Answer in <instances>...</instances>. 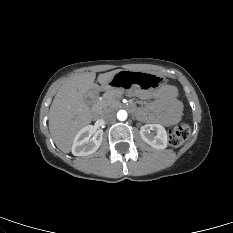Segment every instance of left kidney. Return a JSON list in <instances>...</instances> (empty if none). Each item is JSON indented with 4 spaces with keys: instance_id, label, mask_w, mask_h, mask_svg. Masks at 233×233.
Instances as JSON below:
<instances>
[{
    "instance_id": "1",
    "label": "left kidney",
    "mask_w": 233,
    "mask_h": 233,
    "mask_svg": "<svg viewBox=\"0 0 233 233\" xmlns=\"http://www.w3.org/2000/svg\"><path fill=\"white\" fill-rule=\"evenodd\" d=\"M155 131V135L150 133ZM140 135L144 142L156 149H165L168 144V138L165 128L160 124H146L141 127Z\"/></svg>"
}]
</instances>
